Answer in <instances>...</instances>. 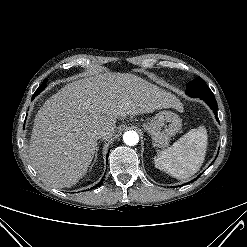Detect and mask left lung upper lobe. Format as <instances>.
I'll return each instance as SVG.
<instances>
[{
	"label": "left lung upper lobe",
	"instance_id": "1",
	"mask_svg": "<svg viewBox=\"0 0 247 247\" xmlns=\"http://www.w3.org/2000/svg\"><path fill=\"white\" fill-rule=\"evenodd\" d=\"M186 94L190 97H214L210 88L201 77H197L187 85Z\"/></svg>",
	"mask_w": 247,
	"mask_h": 247
}]
</instances>
